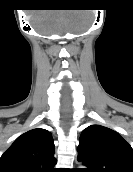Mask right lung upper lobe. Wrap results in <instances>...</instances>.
I'll use <instances>...</instances> for the list:
<instances>
[{"mask_svg": "<svg viewBox=\"0 0 133 172\" xmlns=\"http://www.w3.org/2000/svg\"><path fill=\"white\" fill-rule=\"evenodd\" d=\"M54 143L45 129L19 136L0 159V172H55Z\"/></svg>", "mask_w": 133, "mask_h": 172, "instance_id": "1", "label": "right lung upper lobe"}]
</instances>
